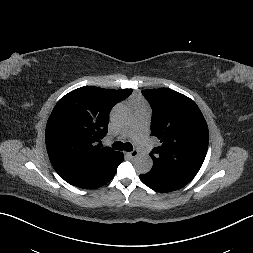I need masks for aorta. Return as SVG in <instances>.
Listing matches in <instances>:
<instances>
[{
    "label": "aorta",
    "instance_id": "1",
    "mask_svg": "<svg viewBox=\"0 0 253 253\" xmlns=\"http://www.w3.org/2000/svg\"><path fill=\"white\" fill-rule=\"evenodd\" d=\"M131 110L126 106H117L112 112V119L115 123L122 125L131 119ZM134 168L139 174L148 173L153 166V161L150 156L141 155L135 158Z\"/></svg>",
    "mask_w": 253,
    "mask_h": 253
}]
</instances>
